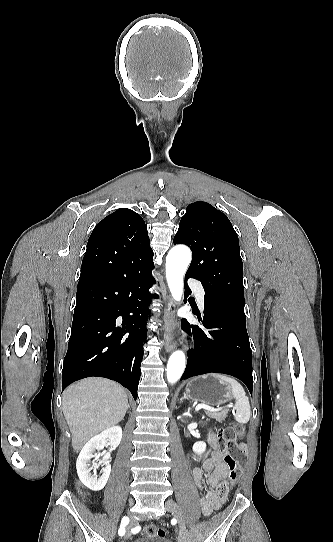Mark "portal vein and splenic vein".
Segmentation results:
<instances>
[{
    "mask_svg": "<svg viewBox=\"0 0 333 542\" xmlns=\"http://www.w3.org/2000/svg\"><path fill=\"white\" fill-rule=\"evenodd\" d=\"M201 408H203V410H208V412H219V410H215V408H211V406H205V404H199V406H196V412L201 410Z\"/></svg>",
    "mask_w": 333,
    "mask_h": 542,
    "instance_id": "1",
    "label": "portal vein and splenic vein"
}]
</instances>
